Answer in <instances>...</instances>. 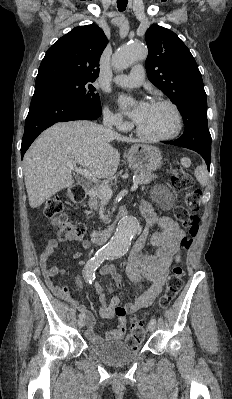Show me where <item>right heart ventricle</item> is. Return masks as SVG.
<instances>
[{
	"instance_id": "1",
	"label": "right heart ventricle",
	"mask_w": 232,
	"mask_h": 399,
	"mask_svg": "<svg viewBox=\"0 0 232 399\" xmlns=\"http://www.w3.org/2000/svg\"><path fill=\"white\" fill-rule=\"evenodd\" d=\"M122 129H125L126 128V126H123V127H121Z\"/></svg>"
}]
</instances>
